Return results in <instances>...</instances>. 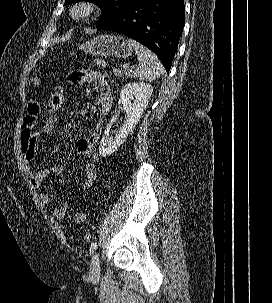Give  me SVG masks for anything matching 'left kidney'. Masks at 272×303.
<instances>
[{
  "label": "left kidney",
  "instance_id": "1",
  "mask_svg": "<svg viewBox=\"0 0 272 303\" xmlns=\"http://www.w3.org/2000/svg\"><path fill=\"white\" fill-rule=\"evenodd\" d=\"M152 92L153 87L149 83H127L122 87L118 105L126 113L125 120L116 136L114 138L110 137V129L118 117L117 113L114 114L100 142L99 154L101 156L111 155L125 141L130 132L138 124L148 105ZM121 104L123 107L120 106Z\"/></svg>",
  "mask_w": 272,
  "mask_h": 303
}]
</instances>
